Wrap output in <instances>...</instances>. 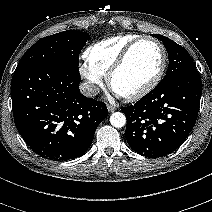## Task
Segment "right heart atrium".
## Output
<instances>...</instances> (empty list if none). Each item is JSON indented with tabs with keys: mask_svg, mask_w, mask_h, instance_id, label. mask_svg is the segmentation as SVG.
I'll list each match as a JSON object with an SVG mask.
<instances>
[{
	"mask_svg": "<svg viewBox=\"0 0 212 212\" xmlns=\"http://www.w3.org/2000/svg\"><path fill=\"white\" fill-rule=\"evenodd\" d=\"M79 73L84 80V88L89 95L95 93L97 86L103 82L104 75L92 67L88 62L79 64Z\"/></svg>",
	"mask_w": 212,
	"mask_h": 212,
	"instance_id": "d8ad5b80",
	"label": "right heart atrium"
}]
</instances>
